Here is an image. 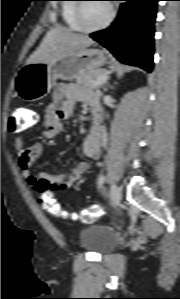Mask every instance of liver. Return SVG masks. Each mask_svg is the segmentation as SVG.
I'll return each instance as SVG.
<instances>
[{
  "label": "liver",
  "instance_id": "obj_1",
  "mask_svg": "<svg viewBox=\"0 0 180 299\" xmlns=\"http://www.w3.org/2000/svg\"><path fill=\"white\" fill-rule=\"evenodd\" d=\"M94 41L87 35L74 33L65 27H54L44 36L39 47L30 55L26 64L41 62L50 63L54 60L84 49L92 45Z\"/></svg>",
  "mask_w": 180,
  "mask_h": 299
}]
</instances>
